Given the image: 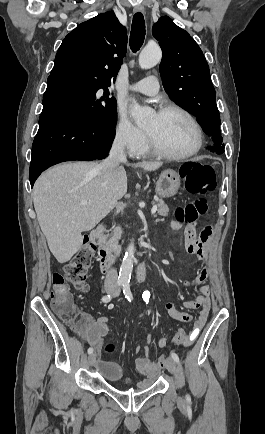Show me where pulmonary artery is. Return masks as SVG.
<instances>
[{
    "label": "pulmonary artery",
    "mask_w": 265,
    "mask_h": 434,
    "mask_svg": "<svg viewBox=\"0 0 265 434\" xmlns=\"http://www.w3.org/2000/svg\"><path fill=\"white\" fill-rule=\"evenodd\" d=\"M160 84L156 76H148L141 82L129 87L132 91H138L144 94H150L152 96L157 94Z\"/></svg>",
    "instance_id": "pulmonary-artery-1"
}]
</instances>
